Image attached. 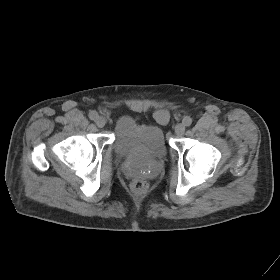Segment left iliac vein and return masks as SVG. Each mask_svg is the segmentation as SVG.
Masks as SVG:
<instances>
[{"label":"left iliac vein","mask_w":280,"mask_h":280,"mask_svg":"<svg viewBox=\"0 0 280 280\" xmlns=\"http://www.w3.org/2000/svg\"><path fill=\"white\" fill-rule=\"evenodd\" d=\"M175 134L177 135V136H182L183 134H184V132H185V126H184V124H182V123H179V124H177L176 126H175Z\"/></svg>","instance_id":"1"}]
</instances>
